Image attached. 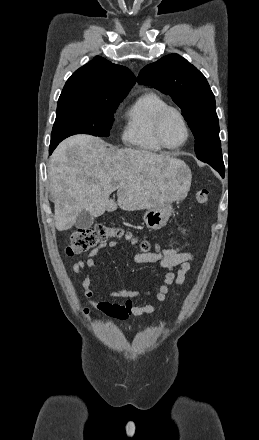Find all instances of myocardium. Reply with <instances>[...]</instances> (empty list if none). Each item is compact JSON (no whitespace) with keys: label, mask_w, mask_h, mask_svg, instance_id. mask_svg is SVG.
Instances as JSON below:
<instances>
[{"label":"myocardium","mask_w":259,"mask_h":440,"mask_svg":"<svg viewBox=\"0 0 259 440\" xmlns=\"http://www.w3.org/2000/svg\"><path fill=\"white\" fill-rule=\"evenodd\" d=\"M169 113H175L179 117V119L181 120V122L185 128V132H186V136H185L184 141L178 145H175V146H169L168 144H166V142L164 141L163 136H162V125H163V122H164L166 116ZM154 135H155L156 141L158 142V144L162 148H164L166 150H177L187 144V142L189 141L190 135H191V129H190V126H189V123H188L186 117L184 116V114L182 113V111L180 109L173 107V106H166L157 115V118H156L155 124H154Z\"/></svg>","instance_id":"1"}]
</instances>
